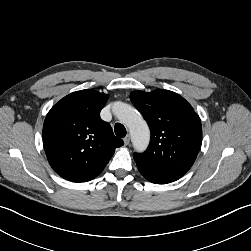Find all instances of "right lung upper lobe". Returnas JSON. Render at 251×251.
<instances>
[{
	"label": "right lung upper lobe",
	"mask_w": 251,
	"mask_h": 251,
	"mask_svg": "<svg viewBox=\"0 0 251 251\" xmlns=\"http://www.w3.org/2000/svg\"><path fill=\"white\" fill-rule=\"evenodd\" d=\"M108 96L92 89L73 92L48 112L43 125V146L53 170L72 182L98 176L124 144L111 126L100 119Z\"/></svg>",
	"instance_id": "1"
}]
</instances>
